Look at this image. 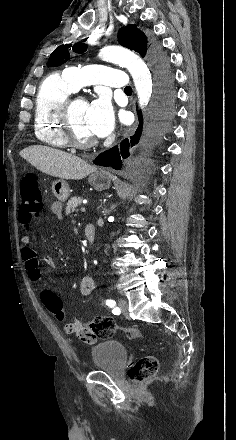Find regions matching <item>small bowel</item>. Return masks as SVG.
I'll return each instance as SVG.
<instances>
[{
    "instance_id": "small-bowel-1",
    "label": "small bowel",
    "mask_w": 236,
    "mask_h": 440,
    "mask_svg": "<svg viewBox=\"0 0 236 440\" xmlns=\"http://www.w3.org/2000/svg\"><path fill=\"white\" fill-rule=\"evenodd\" d=\"M51 211L53 214H55L58 218H61L62 214V203L58 200H55L51 203ZM26 225V224H25ZM21 245H22V259L25 262L26 269L28 271L29 277L31 280L38 282L41 280L42 277V271L39 264V259L37 257V253L34 251V249L31 247V238L29 236H23L21 239ZM47 264H51L50 258L44 259ZM94 288V279L90 275H84L80 282V295L87 296L89 295ZM46 290L42 291L41 293V300L42 294ZM44 304V302H43ZM64 331L67 334H73L75 333L76 339H91L94 336L93 331L88 330V326L85 323L80 322L79 320H75L72 322H67L64 326ZM89 343H93L94 340H88Z\"/></svg>"
}]
</instances>
